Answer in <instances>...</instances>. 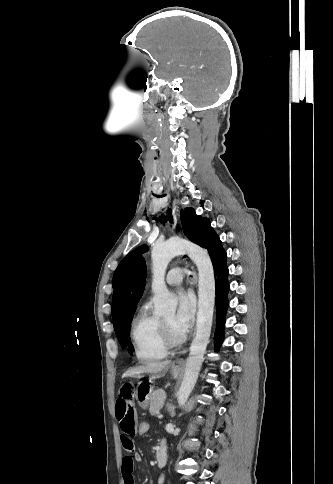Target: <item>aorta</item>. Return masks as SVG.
<instances>
[{
    "mask_svg": "<svg viewBox=\"0 0 333 484\" xmlns=\"http://www.w3.org/2000/svg\"><path fill=\"white\" fill-rule=\"evenodd\" d=\"M183 253H187L196 264L199 281L196 334L190 346L183 381L178 391L180 406L187 402L198 379L211 334L215 303L214 269L207 250L188 241L173 238L155 244L151 253L155 312L159 315H171L176 312L178 301L167 289L165 273L171 259Z\"/></svg>",
    "mask_w": 333,
    "mask_h": 484,
    "instance_id": "762f6f07",
    "label": "aorta"
}]
</instances>
